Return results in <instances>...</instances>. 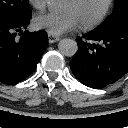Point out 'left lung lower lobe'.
Returning <instances> with one entry per match:
<instances>
[{
  "label": "left lung lower lobe",
  "mask_w": 128,
  "mask_h": 128,
  "mask_svg": "<svg viewBox=\"0 0 128 128\" xmlns=\"http://www.w3.org/2000/svg\"><path fill=\"white\" fill-rule=\"evenodd\" d=\"M77 38L78 51L70 62L74 76L84 85L100 89L128 72V23L93 30Z\"/></svg>",
  "instance_id": "0a47b994"
}]
</instances>
